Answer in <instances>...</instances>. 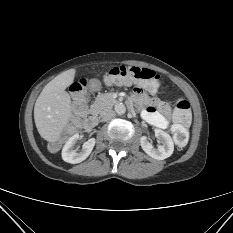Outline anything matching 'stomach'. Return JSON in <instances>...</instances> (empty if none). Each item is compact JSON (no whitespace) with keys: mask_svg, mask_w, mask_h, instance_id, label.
Returning <instances> with one entry per match:
<instances>
[{"mask_svg":"<svg viewBox=\"0 0 233 233\" xmlns=\"http://www.w3.org/2000/svg\"><path fill=\"white\" fill-rule=\"evenodd\" d=\"M90 86L94 89H99L101 87V83L97 79H92Z\"/></svg>","mask_w":233,"mask_h":233,"instance_id":"0dacf381","label":"stomach"}]
</instances>
